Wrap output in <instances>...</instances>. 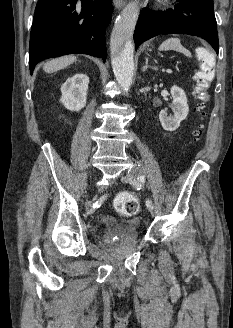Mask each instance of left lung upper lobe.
<instances>
[{"mask_svg":"<svg viewBox=\"0 0 233 328\" xmlns=\"http://www.w3.org/2000/svg\"><path fill=\"white\" fill-rule=\"evenodd\" d=\"M207 1H209L210 3H213V1H212V0H207Z\"/></svg>","mask_w":233,"mask_h":328,"instance_id":"left-lung-upper-lobe-1","label":"left lung upper lobe"}]
</instances>
